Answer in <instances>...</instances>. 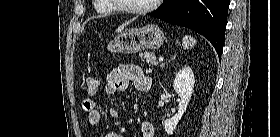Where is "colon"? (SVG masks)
Listing matches in <instances>:
<instances>
[{
  "label": "colon",
  "instance_id": "colon-1",
  "mask_svg": "<svg viewBox=\"0 0 280 137\" xmlns=\"http://www.w3.org/2000/svg\"><path fill=\"white\" fill-rule=\"evenodd\" d=\"M99 82L94 77H88L85 82V90L89 94H95L98 91Z\"/></svg>",
  "mask_w": 280,
  "mask_h": 137
}]
</instances>
